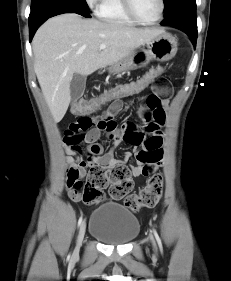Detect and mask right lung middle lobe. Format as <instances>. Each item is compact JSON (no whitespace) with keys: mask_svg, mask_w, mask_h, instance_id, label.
Wrapping results in <instances>:
<instances>
[{"mask_svg":"<svg viewBox=\"0 0 231 281\" xmlns=\"http://www.w3.org/2000/svg\"><path fill=\"white\" fill-rule=\"evenodd\" d=\"M36 1H37V0H32V1H31V4H33V3L36 2ZM77 1L83 3V4L87 7V4L84 2V0H77Z\"/></svg>","mask_w":231,"mask_h":281,"instance_id":"dd1d6c3e","label":"right lung middle lobe"}]
</instances>
